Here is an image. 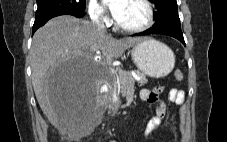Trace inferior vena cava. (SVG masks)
<instances>
[{"instance_id": "inferior-vena-cava-1", "label": "inferior vena cava", "mask_w": 227, "mask_h": 142, "mask_svg": "<svg viewBox=\"0 0 227 142\" xmlns=\"http://www.w3.org/2000/svg\"><path fill=\"white\" fill-rule=\"evenodd\" d=\"M93 25L97 27L98 30L106 31L104 23L99 21L98 15H95L93 18Z\"/></svg>"}]
</instances>
